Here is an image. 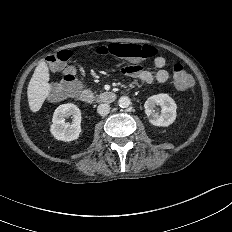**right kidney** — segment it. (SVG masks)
Here are the masks:
<instances>
[{
    "mask_svg": "<svg viewBox=\"0 0 232 232\" xmlns=\"http://www.w3.org/2000/svg\"><path fill=\"white\" fill-rule=\"evenodd\" d=\"M69 116L72 117V124L65 122V118ZM50 132L57 140L65 142L76 140L81 132L80 109L72 103L58 106L53 114Z\"/></svg>",
    "mask_w": 232,
    "mask_h": 232,
    "instance_id": "ca27d5eb",
    "label": "right kidney"
}]
</instances>
